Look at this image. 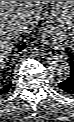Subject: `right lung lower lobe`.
Listing matches in <instances>:
<instances>
[{
  "label": "right lung lower lobe",
  "instance_id": "right-lung-lower-lobe-1",
  "mask_svg": "<svg viewBox=\"0 0 74 122\" xmlns=\"http://www.w3.org/2000/svg\"><path fill=\"white\" fill-rule=\"evenodd\" d=\"M25 47H26V45H25V42H24L23 44H21V45L19 46L18 51L23 50ZM11 86H12V82H11V81H9V83L6 84V85H0V95H1L2 93L6 92L7 90H9Z\"/></svg>",
  "mask_w": 74,
  "mask_h": 122
}]
</instances>
